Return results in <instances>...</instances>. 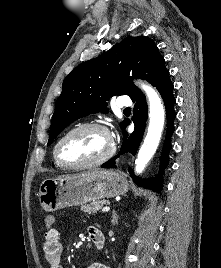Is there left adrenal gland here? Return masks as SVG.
Returning a JSON list of instances; mask_svg holds the SVG:
<instances>
[{
	"instance_id": "a2214340",
	"label": "left adrenal gland",
	"mask_w": 221,
	"mask_h": 268,
	"mask_svg": "<svg viewBox=\"0 0 221 268\" xmlns=\"http://www.w3.org/2000/svg\"><path fill=\"white\" fill-rule=\"evenodd\" d=\"M118 220H119V216L117 215L116 211L113 210V212H112V220H111L112 225L118 224Z\"/></svg>"
}]
</instances>
